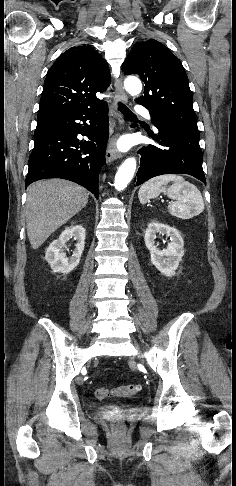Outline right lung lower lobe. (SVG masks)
<instances>
[{
    "mask_svg": "<svg viewBox=\"0 0 236 486\" xmlns=\"http://www.w3.org/2000/svg\"><path fill=\"white\" fill-rule=\"evenodd\" d=\"M108 125L106 102L37 120L25 186L41 179L62 178L82 185L98 199L99 173L106 163ZM78 134L87 136L89 141L80 142Z\"/></svg>",
    "mask_w": 236,
    "mask_h": 486,
    "instance_id": "98d812e1",
    "label": "right lung lower lobe"
}]
</instances>
